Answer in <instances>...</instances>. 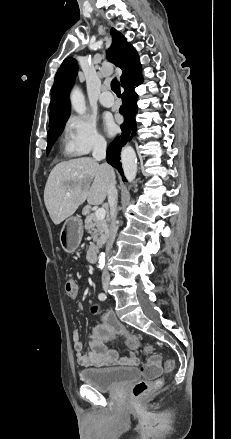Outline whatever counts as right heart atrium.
Listing matches in <instances>:
<instances>
[{
  "mask_svg": "<svg viewBox=\"0 0 231 439\" xmlns=\"http://www.w3.org/2000/svg\"><path fill=\"white\" fill-rule=\"evenodd\" d=\"M106 139L98 131L94 119L87 116H71L66 123V151L74 156L103 150Z\"/></svg>",
  "mask_w": 231,
  "mask_h": 439,
  "instance_id": "right-heart-atrium-1",
  "label": "right heart atrium"
}]
</instances>
